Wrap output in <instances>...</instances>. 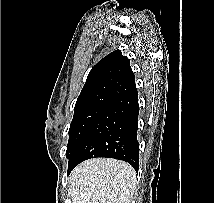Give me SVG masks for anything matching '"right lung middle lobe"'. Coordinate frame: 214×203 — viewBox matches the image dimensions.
Segmentation results:
<instances>
[{
  "instance_id": "obj_1",
  "label": "right lung middle lobe",
  "mask_w": 214,
  "mask_h": 203,
  "mask_svg": "<svg viewBox=\"0 0 214 203\" xmlns=\"http://www.w3.org/2000/svg\"><path fill=\"white\" fill-rule=\"evenodd\" d=\"M113 100V98L104 96H92L77 100L73 120L69 129V141L66 151L67 158L70 157L93 122Z\"/></svg>"
}]
</instances>
